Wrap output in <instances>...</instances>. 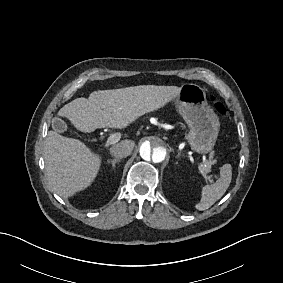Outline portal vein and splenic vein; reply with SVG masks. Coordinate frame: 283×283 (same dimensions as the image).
<instances>
[{
  "label": "portal vein and splenic vein",
  "mask_w": 283,
  "mask_h": 283,
  "mask_svg": "<svg viewBox=\"0 0 283 283\" xmlns=\"http://www.w3.org/2000/svg\"><path fill=\"white\" fill-rule=\"evenodd\" d=\"M120 139V135L118 134H113L111 136H109L107 138V140L105 141V145L106 146H110V145H113L115 143H117ZM195 163L199 166V168H202V164L200 163V160L199 159H196L195 160ZM203 176V179L207 182V183H210L211 181H214L216 179V176L214 174H205L203 171L201 172Z\"/></svg>",
  "instance_id": "18ae733b"
}]
</instances>
